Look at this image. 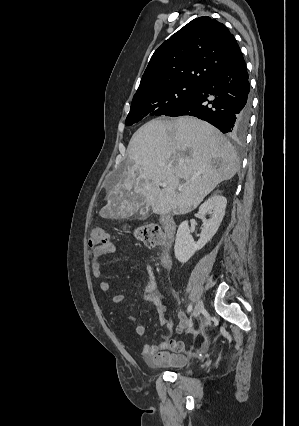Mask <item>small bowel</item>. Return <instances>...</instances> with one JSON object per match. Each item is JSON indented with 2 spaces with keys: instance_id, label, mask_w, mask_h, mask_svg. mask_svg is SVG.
Wrapping results in <instances>:
<instances>
[{
  "instance_id": "obj_1",
  "label": "small bowel",
  "mask_w": 299,
  "mask_h": 426,
  "mask_svg": "<svg viewBox=\"0 0 299 426\" xmlns=\"http://www.w3.org/2000/svg\"><path fill=\"white\" fill-rule=\"evenodd\" d=\"M118 251L116 244L108 242L106 245L95 248L91 252V271L92 276L95 279H101L103 275L102 271V257L110 254H115ZM146 273L148 275V281L145 285V300L152 302L156 305L159 316L160 324L165 326L169 332L174 331V325L171 321L168 320L166 316V307L164 303L156 295V283L155 276L151 266L147 265L145 267ZM100 289L102 292H107L110 288V284L106 280L100 282ZM113 303L120 305L125 301V295L118 293L113 296ZM127 320L131 323L137 322V317L133 313H127ZM179 324L177 327V332H181L184 328L187 327V319L183 312L178 313ZM135 332L138 336H143L146 332L145 326L139 324L135 328ZM193 351L187 349L183 342L178 341L174 338H167L164 341L156 345L146 344L143 346L141 351L142 358L151 366L157 367H174L181 368L187 363V359L193 355Z\"/></svg>"
}]
</instances>
